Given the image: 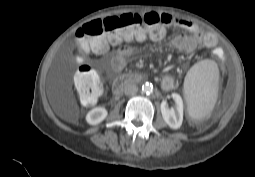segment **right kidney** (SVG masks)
I'll use <instances>...</instances> for the list:
<instances>
[{"label": "right kidney", "mask_w": 255, "mask_h": 177, "mask_svg": "<svg viewBox=\"0 0 255 177\" xmlns=\"http://www.w3.org/2000/svg\"><path fill=\"white\" fill-rule=\"evenodd\" d=\"M108 115L104 107H95L86 115V121L90 125H97L101 123Z\"/></svg>", "instance_id": "obj_1"}]
</instances>
